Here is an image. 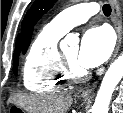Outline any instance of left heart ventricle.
I'll use <instances>...</instances> for the list:
<instances>
[{
    "mask_svg": "<svg viewBox=\"0 0 123 113\" xmlns=\"http://www.w3.org/2000/svg\"><path fill=\"white\" fill-rule=\"evenodd\" d=\"M64 53L72 63L77 64V54H78L77 47L67 49L66 51H64Z\"/></svg>",
    "mask_w": 123,
    "mask_h": 113,
    "instance_id": "obj_1",
    "label": "left heart ventricle"
}]
</instances>
